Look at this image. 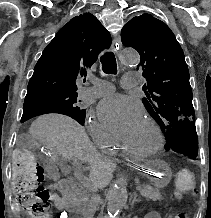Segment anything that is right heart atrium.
Here are the masks:
<instances>
[{
  "label": "right heart atrium",
  "mask_w": 211,
  "mask_h": 218,
  "mask_svg": "<svg viewBox=\"0 0 211 218\" xmlns=\"http://www.w3.org/2000/svg\"><path fill=\"white\" fill-rule=\"evenodd\" d=\"M87 128L94 143L98 147H105L114 141L110 133L103 128L92 116L87 118Z\"/></svg>",
  "instance_id": "right-heart-atrium-1"
}]
</instances>
